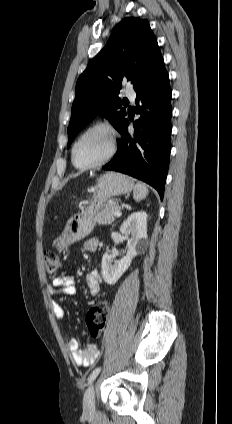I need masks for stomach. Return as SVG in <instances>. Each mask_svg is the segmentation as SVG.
I'll return each instance as SVG.
<instances>
[{
	"label": "stomach",
	"instance_id": "0dacf381",
	"mask_svg": "<svg viewBox=\"0 0 232 424\" xmlns=\"http://www.w3.org/2000/svg\"><path fill=\"white\" fill-rule=\"evenodd\" d=\"M133 186V180L125 175L114 172L102 175L92 188L93 199L89 207L66 225L64 232L53 241L52 246L62 252L72 243L85 238L94 228L95 213L103 208L111 197L130 193Z\"/></svg>",
	"mask_w": 232,
	"mask_h": 424
}]
</instances>
